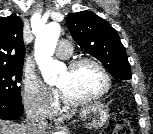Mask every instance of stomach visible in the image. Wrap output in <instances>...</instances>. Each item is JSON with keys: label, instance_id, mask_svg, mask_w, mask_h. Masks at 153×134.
<instances>
[{"label": "stomach", "instance_id": "1", "mask_svg": "<svg viewBox=\"0 0 153 134\" xmlns=\"http://www.w3.org/2000/svg\"><path fill=\"white\" fill-rule=\"evenodd\" d=\"M79 116L86 128L98 129L108 120L109 109L101 103H94L83 108Z\"/></svg>", "mask_w": 153, "mask_h": 134}]
</instances>
